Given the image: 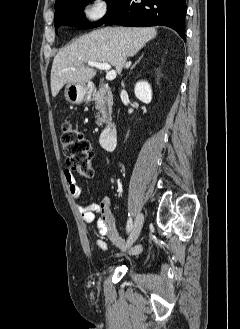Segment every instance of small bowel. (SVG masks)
Masks as SVG:
<instances>
[{"label": "small bowel", "mask_w": 240, "mask_h": 329, "mask_svg": "<svg viewBox=\"0 0 240 329\" xmlns=\"http://www.w3.org/2000/svg\"><path fill=\"white\" fill-rule=\"evenodd\" d=\"M63 177L68 186L69 193L78 200L77 207L81 218L85 223H93L98 215L99 218L96 224V232L99 235L108 237L115 246L127 251L131 255H138L142 251L140 245L127 247L125 240L119 235L116 229L115 218L106 202L101 204L80 202L79 200L82 194L81 185L76 181L69 170H64ZM95 246L101 251L108 250L107 243L102 239H98L95 242Z\"/></svg>", "instance_id": "small-bowel-1"}]
</instances>
